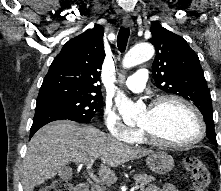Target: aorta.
<instances>
[{
  "label": "aorta",
  "mask_w": 221,
  "mask_h": 191,
  "mask_svg": "<svg viewBox=\"0 0 221 191\" xmlns=\"http://www.w3.org/2000/svg\"><path fill=\"white\" fill-rule=\"evenodd\" d=\"M155 53L154 47L150 43H139L131 48L123 58V67L131 68L140 63L148 61ZM116 106L123 120L127 124L136 121L143 107L133 103L122 92H118L115 98Z\"/></svg>",
  "instance_id": "762f6f07"
}]
</instances>
